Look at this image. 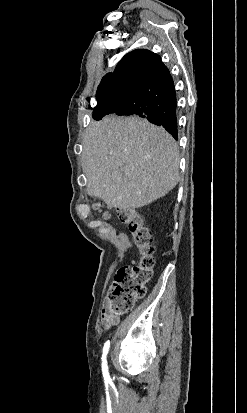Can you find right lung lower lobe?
Returning a JSON list of instances; mask_svg holds the SVG:
<instances>
[{
  "instance_id": "98d812e1",
  "label": "right lung lower lobe",
  "mask_w": 247,
  "mask_h": 413,
  "mask_svg": "<svg viewBox=\"0 0 247 413\" xmlns=\"http://www.w3.org/2000/svg\"><path fill=\"white\" fill-rule=\"evenodd\" d=\"M136 90L135 98L110 97L98 102L93 118L101 120L107 114L138 115L153 124L163 126L176 140V93L169 70L136 72L127 79Z\"/></svg>"
}]
</instances>
